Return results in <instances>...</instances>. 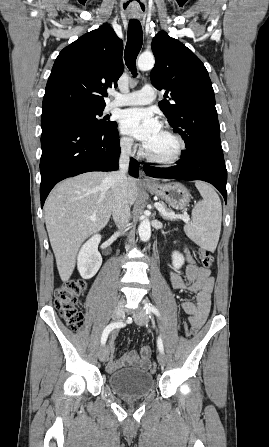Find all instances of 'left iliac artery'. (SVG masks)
<instances>
[{
	"instance_id": "obj_1",
	"label": "left iliac artery",
	"mask_w": 269,
	"mask_h": 447,
	"mask_svg": "<svg viewBox=\"0 0 269 447\" xmlns=\"http://www.w3.org/2000/svg\"><path fill=\"white\" fill-rule=\"evenodd\" d=\"M144 309H145L147 314L154 313L157 316H160V313H159L158 309L155 308L151 303H146L144 305ZM158 348H159L160 352H164L163 343H162L161 337L158 338Z\"/></svg>"
}]
</instances>
